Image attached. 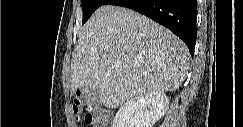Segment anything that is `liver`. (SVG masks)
Masks as SVG:
<instances>
[{"label":"liver","mask_w":243,"mask_h":127,"mask_svg":"<svg viewBox=\"0 0 243 127\" xmlns=\"http://www.w3.org/2000/svg\"><path fill=\"white\" fill-rule=\"evenodd\" d=\"M189 56L183 41L146 16L101 6L79 35L70 93L89 88L105 107L116 108L135 96L175 91L187 75Z\"/></svg>","instance_id":"liver-1"}]
</instances>
